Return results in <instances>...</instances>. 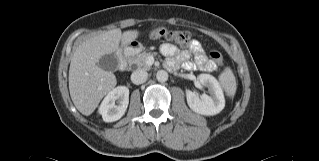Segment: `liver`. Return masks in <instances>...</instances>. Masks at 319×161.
<instances>
[{"label": "liver", "instance_id": "obj_1", "mask_svg": "<svg viewBox=\"0 0 319 161\" xmlns=\"http://www.w3.org/2000/svg\"><path fill=\"white\" fill-rule=\"evenodd\" d=\"M139 35L137 30L122 33L117 28L101 32L82 42L74 51L69 69V91L71 99L80 113L90 115L101 99L116 85L112 72L101 69L99 59L130 44Z\"/></svg>", "mask_w": 319, "mask_h": 161}]
</instances>
